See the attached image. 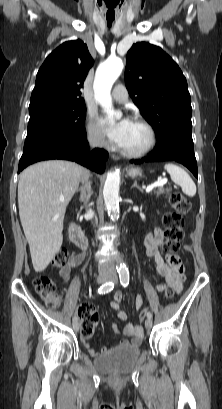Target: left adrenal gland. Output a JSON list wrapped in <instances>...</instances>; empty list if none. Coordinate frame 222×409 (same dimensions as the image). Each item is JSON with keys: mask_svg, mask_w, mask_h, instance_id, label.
<instances>
[{"mask_svg": "<svg viewBox=\"0 0 222 409\" xmlns=\"http://www.w3.org/2000/svg\"><path fill=\"white\" fill-rule=\"evenodd\" d=\"M133 187H136V188H138L141 192H143V190L141 189V187L137 185V181H136V180L134 181V183H133V185L131 186V188H133Z\"/></svg>", "mask_w": 222, "mask_h": 409, "instance_id": "a2214340", "label": "left adrenal gland"}]
</instances>
